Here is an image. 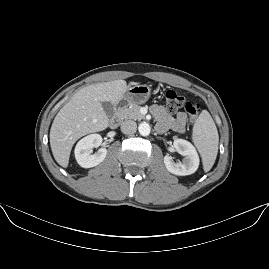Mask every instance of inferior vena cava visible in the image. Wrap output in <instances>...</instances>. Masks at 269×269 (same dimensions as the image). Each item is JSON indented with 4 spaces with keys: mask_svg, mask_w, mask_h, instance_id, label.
I'll return each mask as SVG.
<instances>
[{
    "mask_svg": "<svg viewBox=\"0 0 269 269\" xmlns=\"http://www.w3.org/2000/svg\"><path fill=\"white\" fill-rule=\"evenodd\" d=\"M136 129H137V124L133 120H125L121 124V131L124 134H132V133H135L136 132Z\"/></svg>",
    "mask_w": 269,
    "mask_h": 269,
    "instance_id": "602c4592",
    "label": "inferior vena cava"
}]
</instances>
